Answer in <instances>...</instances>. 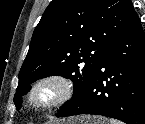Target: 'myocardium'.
Returning <instances> with one entry per match:
<instances>
[{
	"mask_svg": "<svg viewBox=\"0 0 145 124\" xmlns=\"http://www.w3.org/2000/svg\"><path fill=\"white\" fill-rule=\"evenodd\" d=\"M73 81L62 74H48L29 88L26 102L36 111H46L66 104L74 95Z\"/></svg>",
	"mask_w": 145,
	"mask_h": 124,
	"instance_id": "1",
	"label": "myocardium"
}]
</instances>
